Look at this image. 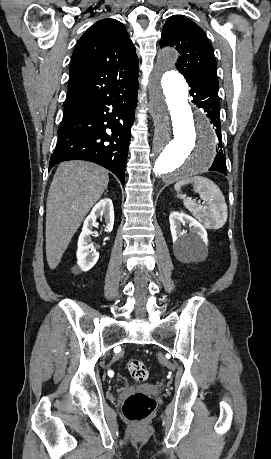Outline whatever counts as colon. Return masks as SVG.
Returning a JSON list of instances; mask_svg holds the SVG:
<instances>
[{"instance_id":"5ec220e1","label":"colon","mask_w":271,"mask_h":459,"mask_svg":"<svg viewBox=\"0 0 271 459\" xmlns=\"http://www.w3.org/2000/svg\"><path fill=\"white\" fill-rule=\"evenodd\" d=\"M70 2L74 0H69ZM128 370L133 379L144 382L149 378L146 365L138 359H133L128 364ZM156 403L149 395L136 392L129 395L122 406L124 416L132 422L142 423L149 418L155 409Z\"/></svg>"}]
</instances>
